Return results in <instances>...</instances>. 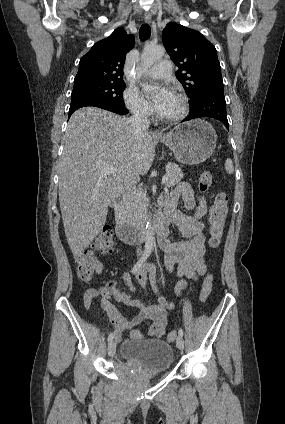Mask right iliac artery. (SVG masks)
<instances>
[{
	"label": "right iliac artery",
	"mask_w": 285,
	"mask_h": 424,
	"mask_svg": "<svg viewBox=\"0 0 285 424\" xmlns=\"http://www.w3.org/2000/svg\"><path fill=\"white\" fill-rule=\"evenodd\" d=\"M150 253H151V249L150 248H145V250H144L141 258L139 259V261L132 268V271H131L132 274H135L137 271H139L142 268L144 262L150 256ZM113 338H114V334L113 333H110L109 336H108V339H107L108 343H110L113 340Z\"/></svg>",
	"instance_id": "obj_1"
}]
</instances>
